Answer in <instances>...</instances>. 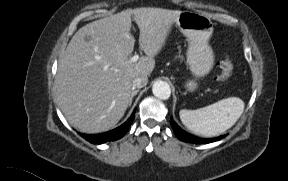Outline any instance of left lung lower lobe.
<instances>
[{
	"label": "left lung lower lobe",
	"instance_id": "obj_1",
	"mask_svg": "<svg viewBox=\"0 0 288 181\" xmlns=\"http://www.w3.org/2000/svg\"><path fill=\"white\" fill-rule=\"evenodd\" d=\"M170 124H171L173 131H174L175 135L177 136V138L179 140L187 142V143L208 144V143H211L214 141H218V140H220L226 136V135H222V136H218L216 138H209V139L199 138V137L191 135V134L185 132L184 130H182L172 118L170 119Z\"/></svg>",
	"mask_w": 288,
	"mask_h": 181
}]
</instances>
